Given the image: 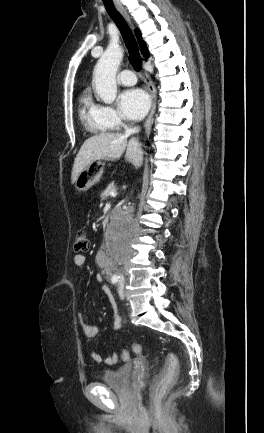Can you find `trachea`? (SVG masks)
I'll use <instances>...</instances> for the list:
<instances>
[{"instance_id":"obj_1","label":"trachea","mask_w":264,"mask_h":433,"mask_svg":"<svg viewBox=\"0 0 264 433\" xmlns=\"http://www.w3.org/2000/svg\"><path fill=\"white\" fill-rule=\"evenodd\" d=\"M102 1L104 3L106 11L108 12V14L112 18V20L115 22V24L117 25L118 29L120 30V32L124 38L132 66L136 70H141L142 60H141V56H140V53L138 50L136 40L132 34L131 29L129 28L125 19L116 10L112 0H102Z\"/></svg>"}]
</instances>
